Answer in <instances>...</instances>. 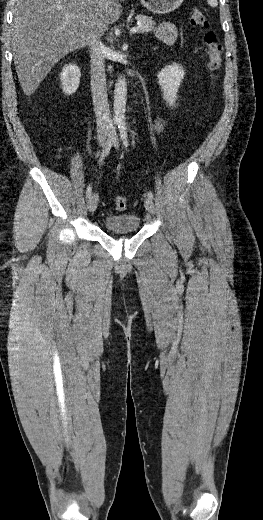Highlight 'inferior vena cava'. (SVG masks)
Listing matches in <instances>:
<instances>
[{
  "label": "inferior vena cava",
  "mask_w": 263,
  "mask_h": 520,
  "mask_svg": "<svg viewBox=\"0 0 263 520\" xmlns=\"http://www.w3.org/2000/svg\"><path fill=\"white\" fill-rule=\"evenodd\" d=\"M89 48L91 63V91L96 115L97 131L98 133H103L109 131L113 126L110 116L105 79L106 47L99 39V35L95 34L89 42Z\"/></svg>",
  "instance_id": "1"
}]
</instances>
